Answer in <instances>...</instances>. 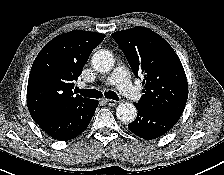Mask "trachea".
Instances as JSON below:
<instances>
[{
  "instance_id": "1",
  "label": "trachea",
  "mask_w": 224,
  "mask_h": 175,
  "mask_svg": "<svg viewBox=\"0 0 224 175\" xmlns=\"http://www.w3.org/2000/svg\"><path fill=\"white\" fill-rule=\"evenodd\" d=\"M77 92H79L82 96L84 97H88V98H101L102 97V92L98 91V90H90V89H86V90H80L77 89ZM105 98L108 99H113V100H119L118 95L113 92V91H107L104 93Z\"/></svg>"
}]
</instances>
